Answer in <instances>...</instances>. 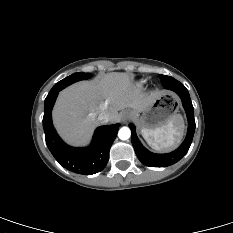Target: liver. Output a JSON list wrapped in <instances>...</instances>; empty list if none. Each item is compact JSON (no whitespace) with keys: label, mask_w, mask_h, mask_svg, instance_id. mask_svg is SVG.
<instances>
[{"label":"liver","mask_w":233,"mask_h":233,"mask_svg":"<svg viewBox=\"0 0 233 233\" xmlns=\"http://www.w3.org/2000/svg\"><path fill=\"white\" fill-rule=\"evenodd\" d=\"M159 94L145 93L126 73L112 72L93 81L78 82L60 92L53 109V122L61 137L72 145L88 142L105 113L110 122L120 120L119 111L140 112Z\"/></svg>","instance_id":"liver-1"}]
</instances>
